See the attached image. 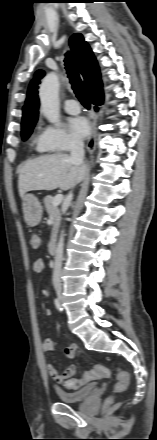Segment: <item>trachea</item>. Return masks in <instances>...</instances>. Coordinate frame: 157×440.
<instances>
[{
    "label": "trachea",
    "mask_w": 157,
    "mask_h": 440,
    "mask_svg": "<svg viewBox=\"0 0 157 440\" xmlns=\"http://www.w3.org/2000/svg\"><path fill=\"white\" fill-rule=\"evenodd\" d=\"M65 67L67 70L68 77L70 79V83L72 85V89L76 94L79 101L87 108L90 109L89 97L86 91V88L80 78L78 73V69L74 60V57L71 52H67L65 55Z\"/></svg>",
    "instance_id": "1"
}]
</instances>
